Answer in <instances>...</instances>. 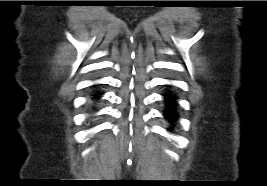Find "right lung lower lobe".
I'll list each match as a JSON object with an SVG mask.
<instances>
[{
	"instance_id": "1",
	"label": "right lung lower lobe",
	"mask_w": 267,
	"mask_h": 186,
	"mask_svg": "<svg viewBox=\"0 0 267 186\" xmlns=\"http://www.w3.org/2000/svg\"><path fill=\"white\" fill-rule=\"evenodd\" d=\"M101 96V93H98V92H95L93 95H92V100L95 102V101H98L99 98Z\"/></svg>"
}]
</instances>
